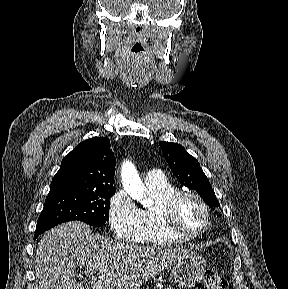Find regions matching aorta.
<instances>
[{
    "label": "aorta",
    "mask_w": 288,
    "mask_h": 289,
    "mask_svg": "<svg viewBox=\"0 0 288 289\" xmlns=\"http://www.w3.org/2000/svg\"><path fill=\"white\" fill-rule=\"evenodd\" d=\"M122 183L125 191L144 207H150L152 200L147 198V189L141 181L132 162L125 161L121 168Z\"/></svg>",
    "instance_id": "1"
}]
</instances>
